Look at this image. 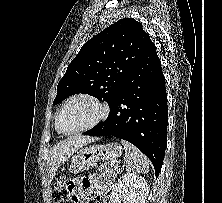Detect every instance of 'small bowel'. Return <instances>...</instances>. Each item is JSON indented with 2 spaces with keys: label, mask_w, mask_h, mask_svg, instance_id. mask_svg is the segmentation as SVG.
Masks as SVG:
<instances>
[{
  "label": "small bowel",
  "mask_w": 222,
  "mask_h": 203,
  "mask_svg": "<svg viewBox=\"0 0 222 203\" xmlns=\"http://www.w3.org/2000/svg\"><path fill=\"white\" fill-rule=\"evenodd\" d=\"M74 184V203H84L87 195L95 198L96 203H105L108 185L102 184L96 177L79 180Z\"/></svg>",
  "instance_id": "1"
}]
</instances>
